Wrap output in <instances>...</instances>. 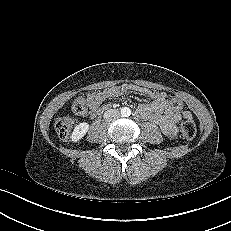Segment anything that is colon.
Returning a JSON list of instances; mask_svg holds the SVG:
<instances>
[{
  "instance_id": "obj_1",
  "label": "colon",
  "mask_w": 231,
  "mask_h": 231,
  "mask_svg": "<svg viewBox=\"0 0 231 231\" xmlns=\"http://www.w3.org/2000/svg\"><path fill=\"white\" fill-rule=\"evenodd\" d=\"M169 102L174 109L181 110L183 108L182 101L176 97L171 98ZM72 109L77 114H83L87 110V105L85 101L78 98L72 103ZM73 124L74 120L71 116L60 114L55 118L54 129L60 138L65 139L69 135ZM180 130L182 137L186 140H192L196 135V125L192 119H184Z\"/></svg>"
}]
</instances>
